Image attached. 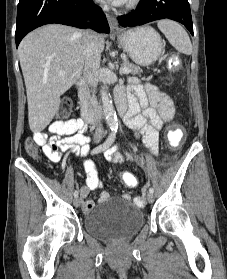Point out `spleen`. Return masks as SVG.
Wrapping results in <instances>:
<instances>
[{"instance_id": "3e777b00", "label": "spleen", "mask_w": 227, "mask_h": 279, "mask_svg": "<svg viewBox=\"0 0 227 279\" xmlns=\"http://www.w3.org/2000/svg\"><path fill=\"white\" fill-rule=\"evenodd\" d=\"M158 28L177 51L186 55L192 53L190 38L181 25L171 20H161Z\"/></svg>"}]
</instances>
